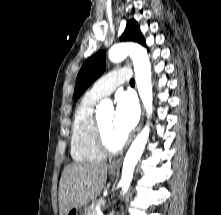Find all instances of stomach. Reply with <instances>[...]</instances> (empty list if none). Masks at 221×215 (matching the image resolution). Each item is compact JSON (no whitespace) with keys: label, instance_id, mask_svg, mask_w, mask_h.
Instances as JSON below:
<instances>
[{"label":"stomach","instance_id":"0dacf381","mask_svg":"<svg viewBox=\"0 0 221 215\" xmlns=\"http://www.w3.org/2000/svg\"><path fill=\"white\" fill-rule=\"evenodd\" d=\"M109 173L111 175H114L115 171L110 170ZM87 211H88L87 205H80L75 208H72L65 215H87Z\"/></svg>","mask_w":221,"mask_h":215}]
</instances>
